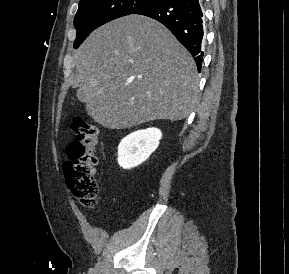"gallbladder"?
<instances>
[{
    "mask_svg": "<svg viewBox=\"0 0 289 274\" xmlns=\"http://www.w3.org/2000/svg\"><path fill=\"white\" fill-rule=\"evenodd\" d=\"M76 95L81 102H85V93L82 89H78Z\"/></svg>",
    "mask_w": 289,
    "mask_h": 274,
    "instance_id": "obj_1",
    "label": "gallbladder"
}]
</instances>
